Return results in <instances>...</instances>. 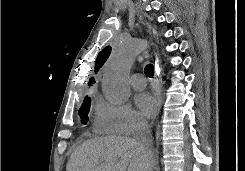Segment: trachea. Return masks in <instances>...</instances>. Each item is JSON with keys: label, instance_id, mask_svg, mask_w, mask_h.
<instances>
[{"label": "trachea", "instance_id": "obj_1", "mask_svg": "<svg viewBox=\"0 0 245 171\" xmlns=\"http://www.w3.org/2000/svg\"><path fill=\"white\" fill-rule=\"evenodd\" d=\"M145 74L148 77H153V75H154V67H153L152 64L146 65V67H145Z\"/></svg>", "mask_w": 245, "mask_h": 171}]
</instances>
